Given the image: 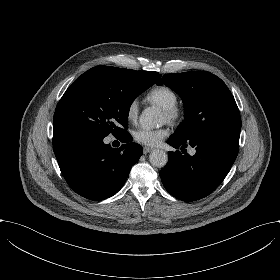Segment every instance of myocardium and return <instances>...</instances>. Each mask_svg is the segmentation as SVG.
I'll list each match as a JSON object with an SVG mask.
<instances>
[{
	"mask_svg": "<svg viewBox=\"0 0 280 280\" xmlns=\"http://www.w3.org/2000/svg\"><path fill=\"white\" fill-rule=\"evenodd\" d=\"M163 112L166 115V120L170 123L178 122L183 116V110L179 106L165 107Z\"/></svg>",
	"mask_w": 280,
	"mask_h": 280,
	"instance_id": "myocardium-1",
	"label": "myocardium"
}]
</instances>
